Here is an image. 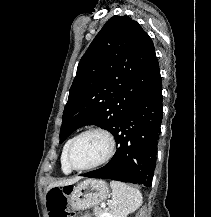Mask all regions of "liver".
<instances>
[{
	"label": "liver",
	"instance_id": "6515ba94",
	"mask_svg": "<svg viewBox=\"0 0 211 217\" xmlns=\"http://www.w3.org/2000/svg\"><path fill=\"white\" fill-rule=\"evenodd\" d=\"M81 179V177H75L72 179H67V180H63V181H57L54 182L52 184L49 185L48 189L54 188V187H59V186H68V185H72L76 182H78Z\"/></svg>",
	"mask_w": 211,
	"mask_h": 217
}]
</instances>
